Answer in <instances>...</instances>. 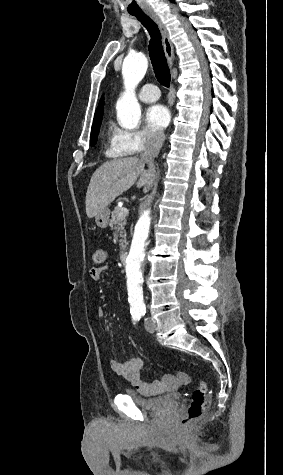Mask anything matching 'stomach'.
Instances as JSON below:
<instances>
[{"instance_id":"1","label":"stomach","mask_w":283,"mask_h":475,"mask_svg":"<svg viewBox=\"0 0 283 475\" xmlns=\"http://www.w3.org/2000/svg\"><path fill=\"white\" fill-rule=\"evenodd\" d=\"M110 218V210L109 208H104L102 212H99L97 216H95V222L99 228H107L108 222Z\"/></svg>"}]
</instances>
